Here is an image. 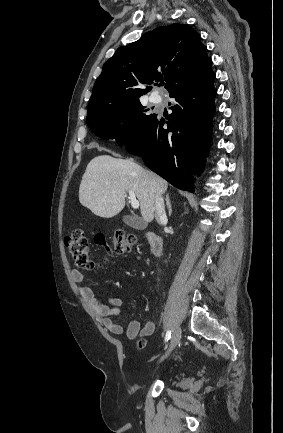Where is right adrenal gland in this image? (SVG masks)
<instances>
[{"label":"right adrenal gland","instance_id":"right-adrenal-gland-1","mask_svg":"<svg viewBox=\"0 0 283 433\" xmlns=\"http://www.w3.org/2000/svg\"><path fill=\"white\" fill-rule=\"evenodd\" d=\"M166 204H167V208H168V214H169V217H171L172 204H171V202H170L169 192H167V194H166Z\"/></svg>","mask_w":283,"mask_h":433}]
</instances>
